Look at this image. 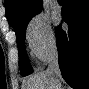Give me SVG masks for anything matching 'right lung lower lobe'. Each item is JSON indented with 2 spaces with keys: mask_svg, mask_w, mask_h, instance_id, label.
Masks as SVG:
<instances>
[{
  "mask_svg": "<svg viewBox=\"0 0 89 89\" xmlns=\"http://www.w3.org/2000/svg\"><path fill=\"white\" fill-rule=\"evenodd\" d=\"M62 19L69 26L56 28L59 67L73 89L89 88V4L88 0H65Z\"/></svg>",
  "mask_w": 89,
  "mask_h": 89,
  "instance_id": "1",
  "label": "right lung lower lobe"
}]
</instances>
